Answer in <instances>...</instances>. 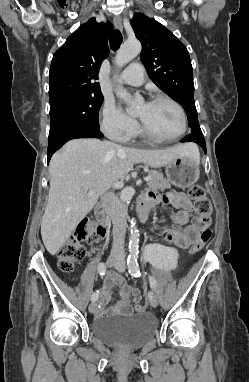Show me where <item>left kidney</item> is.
<instances>
[{"mask_svg": "<svg viewBox=\"0 0 249 382\" xmlns=\"http://www.w3.org/2000/svg\"><path fill=\"white\" fill-rule=\"evenodd\" d=\"M156 245H144V267H156L161 272L175 273L179 268L178 253L175 245H161V241H156Z\"/></svg>", "mask_w": 249, "mask_h": 382, "instance_id": "5707ae66", "label": "left kidney"}]
</instances>
